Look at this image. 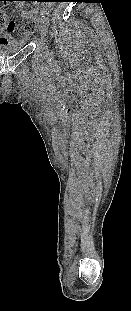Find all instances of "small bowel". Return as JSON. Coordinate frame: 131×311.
<instances>
[{
  "instance_id": "1",
  "label": "small bowel",
  "mask_w": 131,
  "mask_h": 311,
  "mask_svg": "<svg viewBox=\"0 0 131 311\" xmlns=\"http://www.w3.org/2000/svg\"><path fill=\"white\" fill-rule=\"evenodd\" d=\"M14 30V27L11 25H6L0 28V43H5L10 41L12 36V31Z\"/></svg>"
}]
</instances>
